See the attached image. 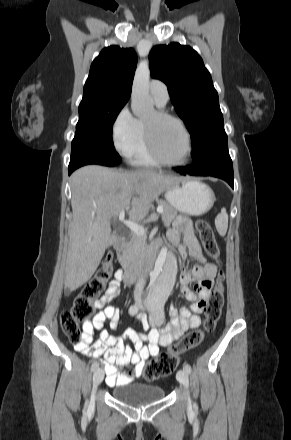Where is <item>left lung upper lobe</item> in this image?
<instances>
[{
	"mask_svg": "<svg viewBox=\"0 0 291 440\" xmlns=\"http://www.w3.org/2000/svg\"><path fill=\"white\" fill-rule=\"evenodd\" d=\"M149 58L151 76L167 85L171 102L191 134L194 161L227 142L218 94L198 53L173 42L155 46Z\"/></svg>",
	"mask_w": 291,
	"mask_h": 440,
	"instance_id": "left-lung-upper-lobe-1",
	"label": "left lung upper lobe"
}]
</instances>
